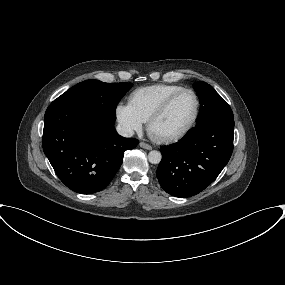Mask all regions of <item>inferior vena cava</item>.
Here are the masks:
<instances>
[{
    "instance_id": "inferior-vena-cava-1",
    "label": "inferior vena cava",
    "mask_w": 285,
    "mask_h": 285,
    "mask_svg": "<svg viewBox=\"0 0 285 285\" xmlns=\"http://www.w3.org/2000/svg\"><path fill=\"white\" fill-rule=\"evenodd\" d=\"M116 130H117L118 134L123 136V137H132L133 134H134L133 129H131L130 127L125 126V125H120L119 124L116 127Z\"/></svg>"
}]
</instances>
